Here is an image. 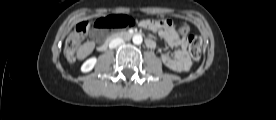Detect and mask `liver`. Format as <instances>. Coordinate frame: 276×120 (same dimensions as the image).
<instances>
[{
	"label": "liver",
	"mask_w": 276,
	"mask_h": 120,
	"mask_svg": "<svg viewBox=\"0 0 276 120\" xmlns=\"http://www.w3.org/2000/svg\"><path fill=\"white\" fill-rule=\"evenodd\" d=\"M93 48H94V44L92 42L85 43L77 51V58L78 59L85 58L88 54L92 52Z\"/></svg>",
	"instance_id": "1"
}]
</instances>
